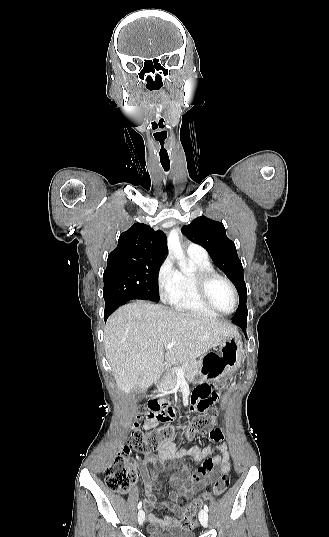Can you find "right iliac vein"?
Listing matches in <instances>:
<instances>
[{"label":"right iliac vein","instance_id":"1","mask_svg":"<svg viewBox=\"0 0 329 537\" xmlns=\"http://www.w3.org/2000/svg\"><path fill=\"white\" fill-rule=\"evenodd\" d=\"M137 518H138V523H139L140 525L143 524V522H144V520H145V513H144L143 510H140V511L138 512V516H137Z\"/></svg>","mask_w":329,"mask_h":537}]
</instances>
